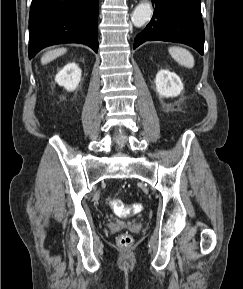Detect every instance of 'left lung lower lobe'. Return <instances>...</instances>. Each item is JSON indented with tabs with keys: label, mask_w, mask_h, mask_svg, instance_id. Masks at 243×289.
Wrapping results in <instances>:
<instances>
[{
	"label": "left lung lower lobe",
	"mask_w": 243,
	"mask_h": 289,
	"mask_svg": "<svg viewBox=\"0 0 243 289\" xmlns=\"http://www.w3.org/2000/svg\"><path fill=\"white\" fill-rule=\"evenodd\" d=\"M154 14L134 41V49L145 41L187 44L203 55L204 27L200 0H152Z\"/></svg>",
	"instance_id": "0a47b994"
}]
</instances>
